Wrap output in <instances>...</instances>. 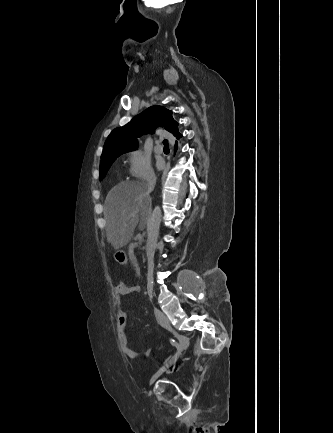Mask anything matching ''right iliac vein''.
I'll return each instance as SVG.
<instances>
[{"label": "right iliac vein", "mask_w": 333, "mask_h": 433, "mask_svg": "<svg viewBox=\"0 0 333 433\" xmlns=\"http://www.w3.org/2000/svg\"><path fill=\"white\" fill-rule=\"evenodd\" d=\"M164 327L166 329H168L170 332L173 333V335L179 340L180 342V347L178 348L175 356L173 359L170 360V362H168V364H166L165 366H163L162 368H160L151 378L150 380V385L159 377L162 375V373H164L171 365L175 364L177 359L180 357V355L182 354L183 350H185L188 346H189V339L184 335L179 333L178 331H176L170 324H165ZM151 394V392L149 393Z\"/></svg>", "instance_id": "right-iliac-vein-1"}]
</instances>
